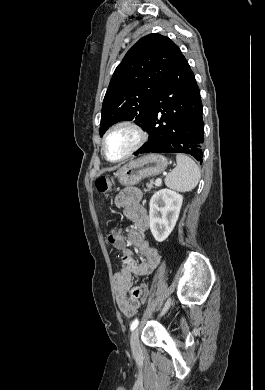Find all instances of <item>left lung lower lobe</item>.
Instances as JSON below:
<instances>
[{
	"label": "left lung lower lobe",
	"instance_id": "1",
	"mask_svg": "<svg viewBox=\"0 0 265 390\" xmlns=\"http://www.w3.org/2000/svg\"><path fill=\"white\" fill-rule=\"evenodd\" d=\"M145 130L149 139L136 153H185L202 163L204 124L200 90L182 55L156 93Z\"/></svg>",
	"mask_w": 265,
	"mask_h": 390
}]
</instances>
